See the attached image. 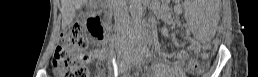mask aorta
I'll return each mask as SVG.
<instances>
[{
  "mask_svg": "<svg viewBox=\"0 0 258 77\" xmlns=\"http://www.w3.org/2000/svg\"><path fill=\"white\" fill-rule=\"evenodd\" d=\"M130 2L131 15L134 19L139 20L142 17L141 0H131Z\"/></svg>",
  "mask_w": 258,
  "mask_h": 77,
  "instance_id": "762f6f07",
  "label": "aorta"
}]
</instances>
